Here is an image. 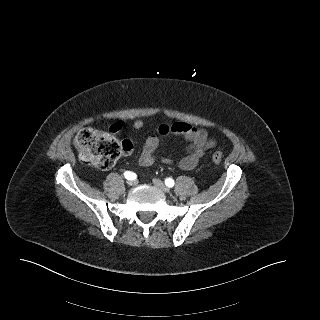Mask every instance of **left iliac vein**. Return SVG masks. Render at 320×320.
Returning <instances> with one entry per match:
<instances>
[{"label":"left iliac vein","mask_w":320,"mask_h":320,"mask_svg":"<svg viewBox=\"0 0 320 320\" xmlns=\"http://www.w3.org/2000/svg\"><path fill=\"white\" fill-rule=\"evenodd\" d=\"M153 184L160 188L163 192L169 193L170 189L161 181L160 179L154 178L153 179Z\"/></svg>","instance_id":"obj_1"}]
</instances>
